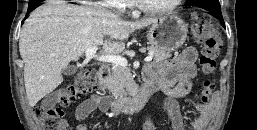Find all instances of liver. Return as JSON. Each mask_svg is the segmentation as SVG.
<instances>
[{
	"label": "liver",
	"mask_w": 257,
	"mask_h": 130,
	"mask_svg": "<svg viewBox=\"0 0 257 130\" xmlns=\"http://www.w3.org/2000/svg\"><path fill=\"white\" fill-rule=\"evenodd\" d=\"M157 19L130 22L107 11L54 0L37 8L25 21L19 40L30 107L63 82V70L88 48L102 45L103 54L117 55L130 34ZM105 36L110 40L104 42Z\"/></svg>",
	"instance_id": "liver-1"
}]
</instances>
